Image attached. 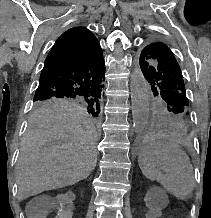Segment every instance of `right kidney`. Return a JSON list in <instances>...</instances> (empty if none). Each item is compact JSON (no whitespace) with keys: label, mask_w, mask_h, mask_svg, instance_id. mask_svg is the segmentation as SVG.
<instances>
[{"label":"right kidney","mask_w":211,"mask_h":218,"mask_svg":"<svg viewBox=\"0 0 211 218\" xmlns=\"http://www.w3.org/2000/svg\"><path fill=\"white\" fill-rule=\"evenodd\" d=\"M52 202H56V206H53V211H57V214H60L54 215V218H71V214H74V209H70V206H73V202H76V197H71L70 192L59 193L58 197H52Z\"/></svg>","instance_id":"right-kidney-1"}]
</instances>
